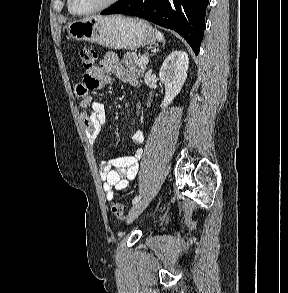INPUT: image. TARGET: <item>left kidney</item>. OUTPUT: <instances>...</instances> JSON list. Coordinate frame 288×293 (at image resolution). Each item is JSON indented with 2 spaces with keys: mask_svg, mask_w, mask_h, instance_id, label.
Returning a JSON list of instances; mask_svg holds the SVG:
<instances>
[{
  "mask_svg": "<svg viewBox=\"0 0 288 293\" xmlns=\"http://www.w3.org/2000/svg\"><path fill=\"white\" fill-rule=\"evenodd\" d=\"M188 67L189 58L184 51H173L164 60L159 72L160 80L165 85V97L160 105L162 109L180 93L187 78Z\"/></svg>",
  "mask_w": 288,
  "mask_h": 293,
  "instance_id": "1",
  "label": "left kidney"
}]
</instances>
